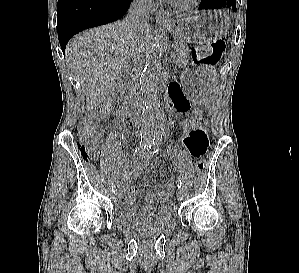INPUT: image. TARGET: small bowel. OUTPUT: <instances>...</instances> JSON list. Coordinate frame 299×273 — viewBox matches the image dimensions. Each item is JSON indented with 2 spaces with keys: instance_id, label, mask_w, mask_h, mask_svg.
Returning a JSON list of instances; mask_svg holds the SVG:
<instances>
[{
  "instance_id": "1",
  "label": "small bowel",
  "mask_w": 299,
  "mask_h": 273,
  "mask_svg": "<svg viewBox=\"0 0 299 273\" xmlns=\"http://www.w3.org/2000/svg\"><path fill=\"white\" fill-rule=\"evenodd\" d=\"M169 99L172 109L177 113L184 114L189 111L190 103L182 93L178 84L173 83L169 88ZM183 145L188 153L194 158L203 156L208 148V137L202 127L191 131L183 137ZM149 164L147 155L134 157L128 163L124 164L121 169V180L118 184V206L128 214L134 215L139 219H149L153 216L155 210L151 206L152 202H159L158 216H168L175 212L176 206L172 202L175 189L173 178L166 180L162 185L151 189L144 197V204L136 209L135 196L139 192L137 186H129L131 182L138 178Z\"/></svg>"
}]
</instances>
